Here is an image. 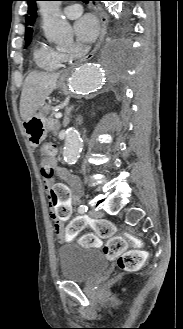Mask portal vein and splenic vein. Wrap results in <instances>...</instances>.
Returning <instances> with one entry per match:
<instances>
[{
	"label": "portal vein and splenic vein",
	"mask_w": 183,
	"mask_h": 329,
	"mask_svg": "<svg viewBox=\"0 0 183 329\" xmlns=\"http://www.w3.org/2000/svg\"><path fill=\"white\" fill-rule=\"evenodd\" d=\"M62 117V114L61 113H57L56 115H55V118L56 119H60Z\"/></svg>",
	"instance_id": "obj_1"
}]
</instances>
